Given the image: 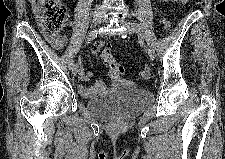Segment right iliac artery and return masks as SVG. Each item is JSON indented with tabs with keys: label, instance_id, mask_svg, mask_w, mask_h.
Instances as JSON below:
<instances>
[{
	"label": "right iliac artery",
	"instance_id": "1",
	"mask_svg": "<svg viewBox=\"0 0 225 159\" xmlns=\"http://www.w3.org/2000/svg\"><path fill=\"white\" fill-rule=\"evenodd\" d=\"M97 31L93 30L91 31L87 37H86V42L89 43L90 41L94 40L97 37ZM74 65V61H71L70 66L72 67Z\"/></svg>",
	"mask_w": 225,
	"mask_h": 159
}]
</instances>
